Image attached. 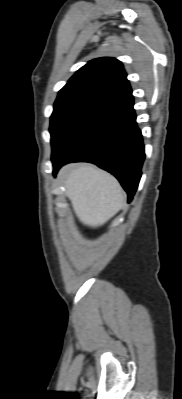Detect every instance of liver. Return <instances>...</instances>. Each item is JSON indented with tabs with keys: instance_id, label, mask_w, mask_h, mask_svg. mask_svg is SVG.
I'll list each match as a JSON object with an SVG mask.
<instances>
[{
	"instance_id": "1",
	"label": "liver",
	"mask_w": 182,
	"mask_h": 399,
	"mask_svg": "<svg viewBox=\"0 0 182 399\" xmlns=\"http://www.w3.org/2000/svg\"><path fill=\"white\" fill-rule=\"evenodd\" d=\"M66 196L79 220L88 226L105 224L124 206L125 193L109 173L92 165L63 171Z\"/></svg>"
}]
</instances>
